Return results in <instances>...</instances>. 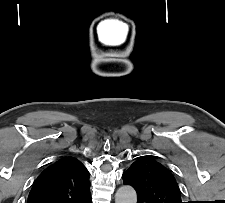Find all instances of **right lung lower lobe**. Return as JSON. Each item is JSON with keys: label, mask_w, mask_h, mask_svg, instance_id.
<instances>
[{"label": "right lung lower lobe", "mask_w": 225, "mask_h": 203, "mask_svg": "<svg viewBox=\"0 0 225 203\" xmlns=\"http://www.w3.org/2000/svg\"><path fill=\"white\" fill-rule=\"evenodd\" d=\"M86 203H92V199L90 198Z\"/></svg>", "instance_id": "obj_1"}]
</instances>
